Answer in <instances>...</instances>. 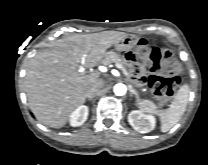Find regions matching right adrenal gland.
I'll return each instance as SVG.
<instances>
[{"label":"right adrenal gland","mask_w":208,"mask_h":165,"mask_svg":"<svg viewBox=\"0 0 208 165\" xmlns=\"http://www.w3.org/2000/svg\"><path fill=\"white\" fill-rule=\"evenodd\" d=\"M94 95L93 94H88L87 97L85 98V100L91 101L93 100Z\"/></svg>","instance_id":"1"}]
</instances>
